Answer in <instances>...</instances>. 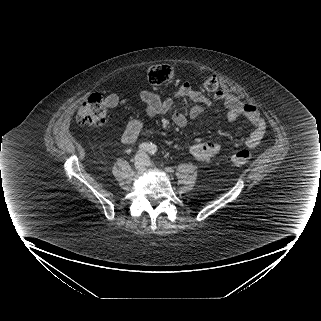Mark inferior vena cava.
<instances>
[{
	"mask_svg": "<svg viewBox=\"0 0 321 321\" xmlns=\"http://www.w3.org/2000/svg\"><path fill=\"white\" fill-rule=\"evenodd\" d=\"M144 159H145V160H148V157H147V155H146V154L144 155Z\"/></svg>",
	"mask_w": 321,
	"mask_h": 321,
	"instance_id": "obj_1",
	"label": "inferior vena cava"
}]
</instances>
